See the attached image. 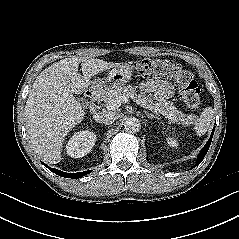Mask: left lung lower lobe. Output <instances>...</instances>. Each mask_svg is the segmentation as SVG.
Listing matches in <instances>:
<instances>
[{
	"mask_svg": "<svg viewBox=\"0 0 239 239\" xmlns=\"http://www.w3.org/2000/svg\"><path fill=\"white\" fill-rule=\"evenodd\" d=\"M214 130H215V128H213L211 136H210L208 142L205 144V146L203 147V149L200 151L199 155L197 156L196 164L191 169H193L194 167H196L197 165H199L203 161V159H204V157H205V155H206V153H207V151H208V149L210 147V144H211V141H212V137H213V134H214Z\"/></svg>",
	"mask_w": 239,
	"mask_h": 239,
	"instance_id": "obj_1",
	"label": "left lung lower lobe"
}]
</instances>
